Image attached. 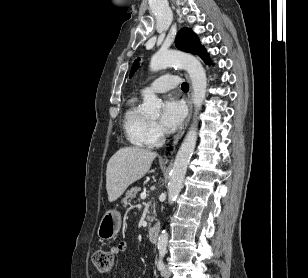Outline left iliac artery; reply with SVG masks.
Returning a JSON list of instances; mask_svg holds the SVG:
<instances>
[{
    "mask_svg": "<svg viewBox=\"0 0 308 278\" xmlns=\"http://www.w3.org/2000/svg\"><path fill=\"white\" fill-rule=\"evenodd\" d=\"M166 254V249L165 248H160L159 249V260L157 262V268L158 270H162L164 269V262H163V257L165 256Z\"/></svg>",
    "mask_w": 308,
    "mask_h": 278,
    "instance_id": "left-iliac-artery-1",
    "label": "left iliac artery"
}]
</instances>
